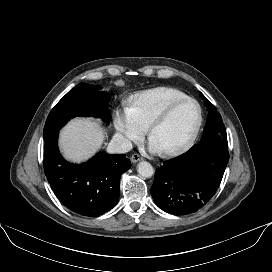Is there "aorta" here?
<instances>
[{
    "instance_id": "762f6f07",
    "label": "aorta",
    "mask_w": 272,
    "mask_h": 272,
    "mask_svg": "<svg viewBox=\"0 0 272 272\" xmlns=\"http://www.w3.org/2000/svg\"><path fill=\"white\" fill-rule=\"evenodd\" d=\"M138 173L143 177L149 178L154 174V169L150 163L142 161L138 164Z\"/></svg>"
}]
</instances>
